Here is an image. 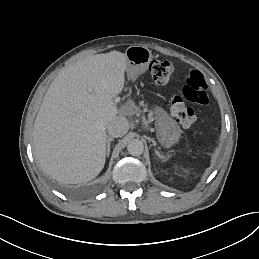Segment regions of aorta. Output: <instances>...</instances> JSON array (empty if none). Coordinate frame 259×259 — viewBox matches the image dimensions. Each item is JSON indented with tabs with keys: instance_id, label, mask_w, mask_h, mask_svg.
<instances>
[{
	"instance_id": "obj_1",
	"label": "aorta",
	"mask_w": 259,
	"mask_h": 259,
	"mask_svg": "<svg viewBox=\"0 0 259 259\" xmlns=\"http://www.w3.org/2000/svg\"><path fill=\"white\" fill-rule=\"evenodd\" d=\"M127 150L132 156H139L144 151L143 142L138 139H133L128 143Z\"/></svg>"
}]
</instances>
